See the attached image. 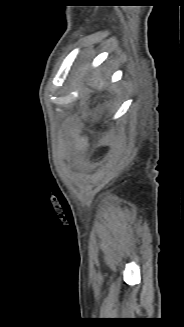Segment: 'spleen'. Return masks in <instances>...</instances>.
<instances>
[{
    "instance_id": "obj_1",
    "label": "spleen",
    "mask_w": 184,
    "mask_h": 327,
    "mask_svg": "<svg viewBox=\"0 0 184 327\" xmlns=\"http://www.w3.org/2000/svg\"><path fill=\"white\" fill-rule=\"evenodd\" d=\"M99 82V83H98ZM95 86L98 87V89H102V87L104 86V81L100 78H97L95 81Z\"/></svg>"
}]
</instances>
